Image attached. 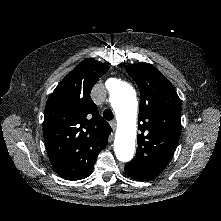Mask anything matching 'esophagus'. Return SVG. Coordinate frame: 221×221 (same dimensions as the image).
Listing matches in <instances>:
<instances>
[{"instance_id":"1","label":"esophagus","mask_w":221,"mask_h":221,"mask_svg":"<svg viewBox=\"0 0 221 221\" xmlns=\"http://www.w3.org/2000/svg\"><path fill=\"white\" fill-rule=\"evenodd\" d=\"M110 126H111L112 130L114 131L116 129V126H117L116 121L115 120L111 121Z\"/></svg>"}]
</instances>
